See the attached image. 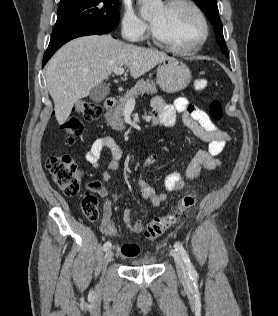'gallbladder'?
<instances>
[{"mask_svg": "<svg viewBox=\"0 0 278 316\" xmlns=\"http://www.w3.org/2000/svg\"><path fill=\"white\" fill-rule=\"evenodd\" d=\"M110 89L109 87L100 84L97 85L96 87H94L89 94L90 99L95 102V103H100L101 101H103L107 95L109 94Z\"/></svg>", "mask_w": 278, "mask_h": 316, "instance_id": "gallbladder-1", "label": "gallbladder"}]
</instances>
